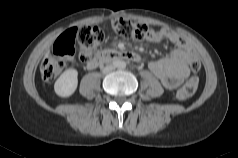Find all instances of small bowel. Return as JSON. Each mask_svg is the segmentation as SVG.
Masks as SVG:
<instances>
[{
	"mask_svg": "<svg viewBox=\"0 0 238 158\" xmlns=\"http://www.w3.org/2000/svg\"><path fill=\"white\" fill-rule=\"evenodd\" d=\"M148 39L153 42L166 39L175 45L169 56L151 61L148 66L165 88L176 89L189 76V66L197 59L195 50L183 37L166 28Z\"/></svg>",
	"mask_w": 238,
	"mask_h": 158,
	"instance_id": "c3829d8e",
	"label": "small bowel"
}]
</instances>
